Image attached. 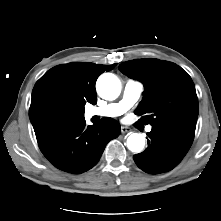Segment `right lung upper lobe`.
I'll return each instance as SVG.
<instances>
[{"instance_id": "right-lung-upper-lobe-1", "label": "right lung upper lobe", "mask_w": 221, "mask_h": 221, "mask_svg": "<svg viewBox=\"0 0 221 221\" xmlns=\"http://www.w3.org/2000/svg\"><path fill=\"white\" fill-rule=\"evenodd\" d=\"M115 65L77 62L48 70L32 91L29 118L36 137L61 122L84 118L85 104L97 103L98 76Z\"/></svg>"}]
</instances>
